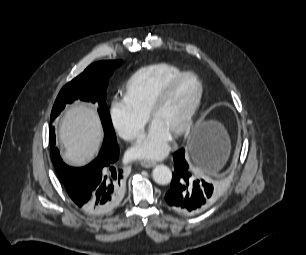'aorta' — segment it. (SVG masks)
I'll return each instance as SVG.
<instances>
[{
    "instance_id": "762f6f07",
    "label": "aorta",
    "mask_w": 306,
    "mask_h": 255,
    "mask_svg": "<svg viewBox=\"0 0 306 255\" xmlns=\"http://www.w3.org/2000/svg\"><path fill=\"white\" fill-rule=\"evenodd\" d=\"M153 180L159 185H167L172 180V172L166 165H157L152 172Z\"/></svg>"
}]
</instances>
